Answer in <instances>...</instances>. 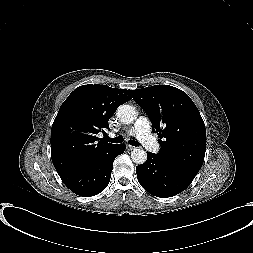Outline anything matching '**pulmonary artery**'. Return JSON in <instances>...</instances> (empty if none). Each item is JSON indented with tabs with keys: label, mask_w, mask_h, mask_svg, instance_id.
<instances>
[{
	"label": "pulmonary artery",
	"mask_w": 253,
	"mask_h": 253,
	"mask_svg": "<svg viewBox=\"0 0 253 253\" xmlns=\"http://www.w3.org/2000/svg\"><path fill=\"white\" fill-rule=\"evenodd\" d=\"M128 136H136L146 149L154 153L158 152L159 145L153 139L150 132V124L146 117H140L134 125L127 131ZM113 136V134H111Z\"/></svg>",
	"instance_id": "obj_1"
}]
</instances>
